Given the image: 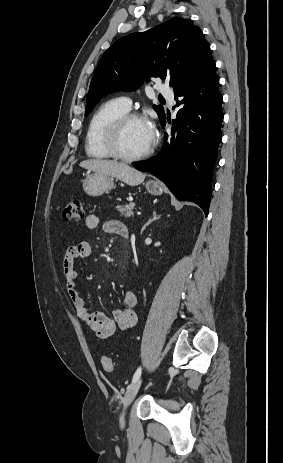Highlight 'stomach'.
I'll use <instances>...</instances> for the list:
<instances>
[{
  "mask_svg": "<svg viewBox=\"0 0 283 463\" xmlns=\"http://www.w3.org/2000/svg\"><path fill=\"white\" fill-rule=\"evenodd\" d=\"M114 188V180L110 176L93 174L83 181V190L90 196H99ZM146 190L151 195H161L163 193L162 185L155 180H149L146 183Z\"/></svg>",
  "mask_w": 283,
  "mask_h": 463,
  "instance_id": "1",
  "label": "stomach"
}]
</instances>
